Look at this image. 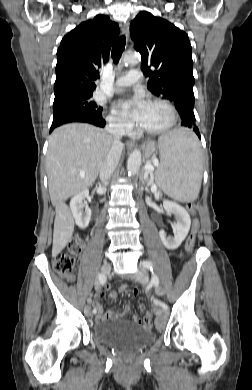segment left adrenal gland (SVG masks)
Instances as JSON below:
<instances>
[{"label":"left adrenal gland","mask_w":252,"mask_h":390,"mask_svg":"<svg viewBox=\"0 0 252 390\" xmlns=\"http://www.w3.org/2000/svg\"><path fill=\"white\" fill-rule=\"evenodd\" d=\"M142 182H143V184H144L145 182H147V186H149V185L151 184V182H150L149 180H147L146 177H144V178L142 179Z\"/></svg>","instance_id":"1"}]
</instances>
